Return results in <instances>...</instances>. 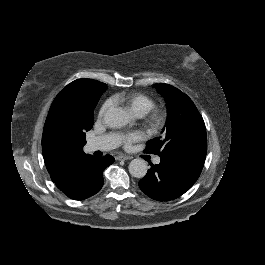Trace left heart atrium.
I'll return each mask as SVG.
<instances>
[{
  "instance_id": "39dd6f15",
  "label": "left heart atrium",
  "mask_w": 265,
  "mask_h": 265,
  "mask_svg": "<svg viewBox=\"0 0 265 265\" xmlns=\"http://www.w3.org/2000/svg\"><path fill=\"white\" fill-rule=\"evenodd\" d=\"M125 141L123 142L126 146H130L131 143L141 140L144 138V134L139 131H134L124 134Z\"/></svg>"
}]
</instances>
